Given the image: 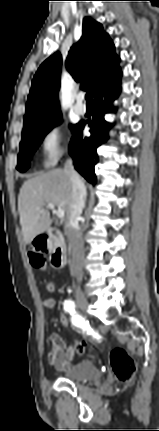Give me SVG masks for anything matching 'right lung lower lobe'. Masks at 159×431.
<instances>
[{
	"label": "right lung lower lobe",
	"mask_w": 159,
	"mask_h": 431,
	"mask_svg": "<svg viewBox=\"0 0 159 431\" xmlns=\"http://www.w3.org/2000/svg\"><path fill=\"white\" fill-rule=\"evenodd\" d=\"M120 77L107 83L94 95L92 120L80 121L70 142L69 152L74 160L75 169L93 185L96 184L94 168L99 161L96 149L107 141L110 128V124L105 121L104 115L114 110L112 101L119 95ZM84 126L90 127V137L84 138L82 136Z\"/></svg>",
	"instance_id": "right-lung-lower-lobe-1"
}]
</instances>
